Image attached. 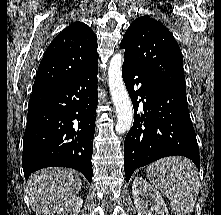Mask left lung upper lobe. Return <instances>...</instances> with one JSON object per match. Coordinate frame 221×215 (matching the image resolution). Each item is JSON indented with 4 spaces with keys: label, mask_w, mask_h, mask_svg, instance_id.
<instances>
[{
    "label": "left lung upper lobe",
    "mask_w": 221,
    "mask_h": 215,
    "mask_svg": "<svg viewBox=\"0 0 221 215\" xmlns=\"http://www.w3.org/2000/svg\"><path fill=\"white\" fill-rule=\"evenodd\" d=\"M125 61L138 70L186 92L182 53L170 31L143 16L131 23L120 43Z\"/></svg>",
    "instance_id": "obj_1"
}]
</instances>
